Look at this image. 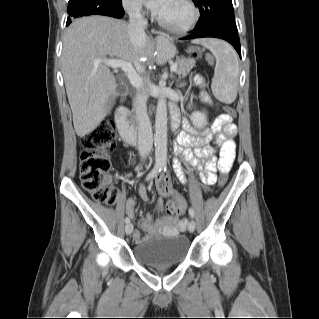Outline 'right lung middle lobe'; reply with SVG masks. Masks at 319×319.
I'll return each mask as SVG.
<instances>
[{
  "label": "right lung middle lobe",
  "mask_w": 319,
  "mask_h": 319,
  "mask_svg": "<svg viewBox=\"0 0 319 319\" xmlns=\"http://www.w3.org/2000/svg\"><path fill=\"white\" fill-rule=\"evenodd\" d=\"M121 6V0H69L68 19L66 25H69L73 19L102 14L115 10Z\"/></svg>",
  "instance_id": "dd1d6c3e"
}]
</instances>
